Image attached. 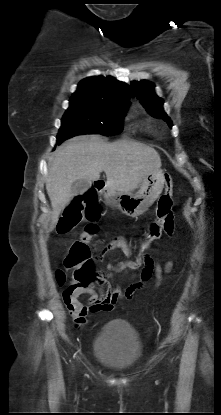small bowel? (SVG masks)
Wrapping results in <instances>:
<instances>
[{"label":"small bowel","mask_w":221,"mask_h":415,"mask_svg":"<svg viewBox=\"0 0 221 415\" xmlns=\"http://www.w3.org/2000/svg\"><path fill=\"white\" fill-rule=\"evenodd\" d=\"M149 224L146 225L145 231ZM174 231V222L169 224L162 232L167 235H172ZM159 237V236H158ZM120 250L126 257H135L133 254L132 246L129 241L122 237H115L108 242L102 249L101 252L105 253L109 250ZM133 257V258H134ZM146 262L145 269L140 271V278L137 282L130 284L125 291L115 285L107 290L105 294L98 293L92 286H84L80 284H71L63 292V299L68 309L69 314L73 318L77 325H84L88 321V315L99 311H110L113 309L115 303L121 299H131L134 294L142 289L144 285L152 278H156L157 285L160 283L162 278V267L156 262L149 254L145 253ZM137 262L133 259L120 261L108 269L111 275H116L125 269H136ZM170 264L166 266V270L170 268ZM89 295L88 304L84 305L79 301L81 295Z\"/></svg>","instance_id":"c3829d8e"}]
</instances>
